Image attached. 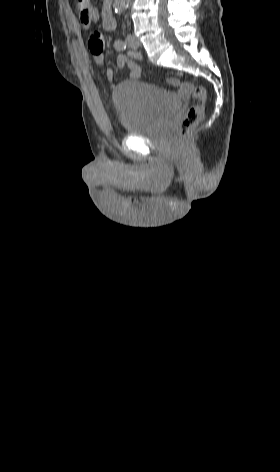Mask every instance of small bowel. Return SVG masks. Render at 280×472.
Listing matches in <instances>:
<instances>
[{
  "label": "small bowel",
  "mask_w": 280,
  "mask_h": 472,
  "mask_svg": "<svg viewBox=\"0 0 280 472\" xmlns=\"http://www.w3.org/2000/svg\"><path fill=\"white\" fill-rule=\"evenodd\" d=\"M88 47H89L93 62L97 65H103L105 61L104 55H103L104 39L101 32L95 31L91 34L89 38V42H88ZM116 67L118 69L127 67L130 71V78L132 79H136L140 75L139 66L128 55L120 54L116 61ZM113 77H114V70L112 68H108L105 72V79L108 82H112ZM168 82L171 85L177 86L181 89H184V90L186 89V87L183 86L180 83V81L177 80L176 78H169Z\"/></svg>",
  "instance_id": "small-bowel-1"
}]
</instances>
